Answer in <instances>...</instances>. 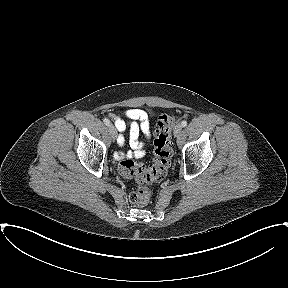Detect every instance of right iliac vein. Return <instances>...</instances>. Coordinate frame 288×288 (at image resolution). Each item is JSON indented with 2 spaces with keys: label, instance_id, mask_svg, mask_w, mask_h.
<instances>
[{
  "label": "right iliac vein",
  "instance_id": "obj_1",
  "mask_svg": "<svg viewBox=\"0 0 288 288\" xmlns=\"http://www.w3.org/2000/svg\"><path fill=\"white\" fill-rule=\"evenodd\" d=\"M109 130L113 139L117 137V131L113 125H109Z\"/></svg>",
  "mask_w": 288,
  "mask_h": 288
}]
</instances>
